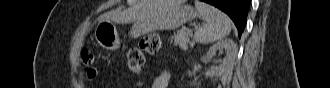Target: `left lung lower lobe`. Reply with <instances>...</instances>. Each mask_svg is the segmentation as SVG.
Instances as JSON below:
<instances>
[{
  "mask_svg": "<svg viewBox=\"0 0 330 88\" xmlns=\"http://www.w3.org/2000/svg\"><path fill=\"white\" fill-rule=\"evenodd\" d=\"M209 3L226 14L233 20L241 36L247 20V13L251 0H202Z\"/></svg>",
  "mask_w": 330,
  "mask_h": 88,
  "instance_id": "obj_1",
  "label": "left lung lower lobe"
}]
</instances>
